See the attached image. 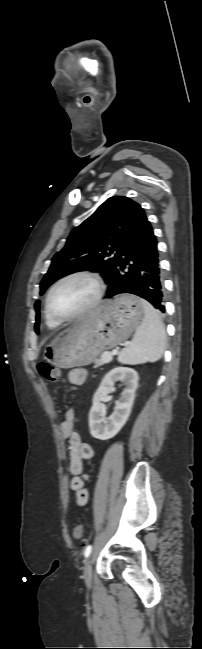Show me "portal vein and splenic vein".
I'll use <instances>...</instances> for the list:
<instances>
[{"instance_id":"18ae733b","label":"portal vein and splenic vein","mask_w":202,"mask_h":649,"mask_svg":"<svg viewBox=\"0 0 202 649\" xmlns=\"http://www.w3.org/2000/svg\"><path fill=\"white\" fill-rule=\"evenodd\" d=\"M117 353H118V351H117L116 349H114V350L112 351V353L104 352V353H102V355H101V360H102L103 362H105V363H109V362L112 360V356H113V355H116Z\"/></svg>"}]
</instances>
